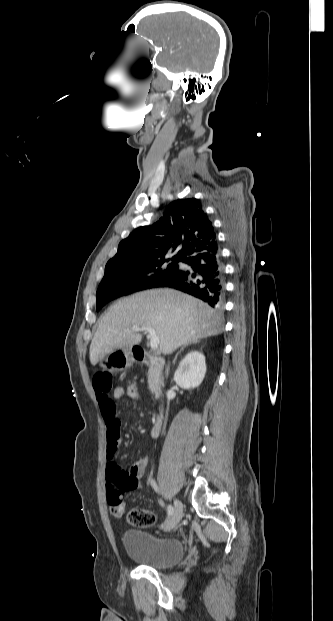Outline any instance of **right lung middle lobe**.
<instances>
[{
  "label": "right lung middle lobe",
  "mask_w": 333,
  "mask_h": 621,
  "mask_svg": "<svg viewBox=\"0 0 333 621\" xmlns=\"http://www.w3.org/2000/svg\"><path fill=\"white\" fill-rule=\"evenodd\" d=\"M164 257L106 265L105 275L98 287L96 310L99 311L109 301L140 290L159 287L178 270L181 258Z\"/></svg>",
  "instance_id": "dd1d6c3e"
}]
</instances>
